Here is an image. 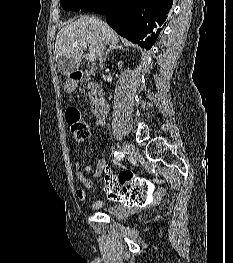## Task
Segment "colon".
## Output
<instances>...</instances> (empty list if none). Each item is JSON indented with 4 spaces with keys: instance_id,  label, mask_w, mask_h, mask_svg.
Instances as JSON below:
<instances>
[{
    "instance_id": "colon-1",
    "label": "colon",
    "mask_w": 233,
    "mask_h": 263,
    "mask_svg": "<svg viewBox=\"0 0 233 263\" xmlns=\"http://www.w3.org/2000/svg\"><path fill=\"white\" fill-rule=\"evenodd\" d=\"M66 121L74 143H81L87 138L88 126L76 108L67 109ZM117 173L119 175H114V171H104L107 199L111 202H124L126 208H132L133 205L135 208H144L147 202H153L155 183L149 182L147 178H140L141 171L118 169Z\"/></svg>"
}]
</instances>
